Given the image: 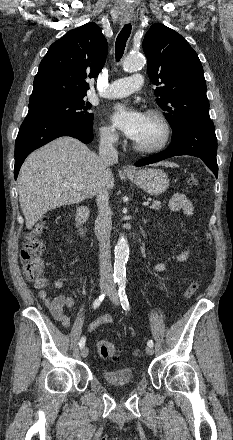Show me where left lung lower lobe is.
Listing matches in <instances>:
<instances>
[{"label": "left lung lower lobe", "mask_w": 233, "mask_h": 440, "mask_svg": "<svg viewBox=\"0 0 233 440\" xmlns=\"http://www.w3.org/2000/svg\"><path fill=\"white\" fill-rule=\"evenodd\" d=\"M216 154L217 138L213 122L193 120L177 137L172 138L171 144L165 151L139 160L135 166L148 165L173 156L191 155L202 159L217 177Z\"/></svg>", "instance_id": "0a47b994"}]
</instances>
